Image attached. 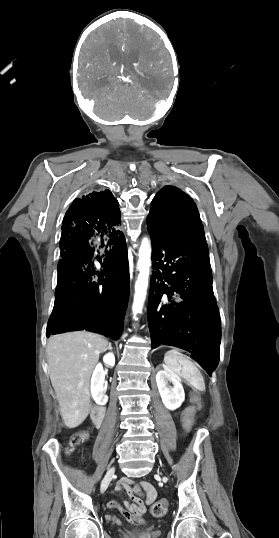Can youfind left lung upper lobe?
Instances as JSON below:
<instances>
[{
  "instance_id": "obj_1",
  "label": "left lung upper lobe",
  "mask_w": 279,
  "mask_h": 538,
  "mask_svg": "<svg viewBox=\"0 0 279 538\" xmlns=\"http://www.w3.org/2000/svg\"><path fill=\"white\" fill-rule=\"evenodd\" d=\"M146 221L152 237L207 246L196 204L177 187L165 186L155 195Z\"/></svg>"
}]
</instances>
